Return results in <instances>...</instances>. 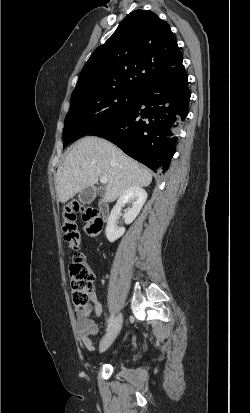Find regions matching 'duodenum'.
<instances>
[{
    "instance_id": "410a0bca",
    "label": "duodenum",
    "mask_w": 250,
    "mask_h": 413,
    "mask_svg": "<svg viewBox=\"0 0 250 413\" xmlns=\"http://www.w3.org/2000/svg\"><path fill=\"white\" fill-rule=\"evenodd\" d=\"M98 213L102 217V219H106L108 215V206L105 203H100L98 206Z\"/></svg>"
}]
</instances>
